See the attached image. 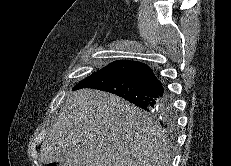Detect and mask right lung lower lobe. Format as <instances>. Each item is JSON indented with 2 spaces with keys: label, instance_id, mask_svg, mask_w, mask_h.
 Segmentation results:
<instances>
[{
  "label": "right lung lower lobe",
  "instance_id": "1",
  "mask_svg": "<svg viewBox=\"0 0 231 166\" xmlns=\"http://www.w3.org/2000/svg\"><path fill=\"white\" fill-rule=\"evenodd\" d=\"M93 88L116 94L136 106L154 111L163 127L173 132L176 113L173 101L148 65L117 60L79 82L74 89Z\"/></svg>",
  "mask_w": 231,
  "mask_h": 166
}]
</instances>
